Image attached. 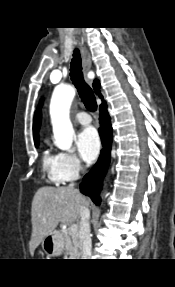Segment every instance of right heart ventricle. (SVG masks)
<instances>
[{
  "label": "right heart ventricle",
  "instance_id": "right-heart-ventricle-1",
  "mask_svg": "<svg viewBox=\"0 0 175 287\" xmlns=\"http://www.w3.org/2000/svg\"><path fill=\"white\" fill-rule=\"evenodd\" d=\"M42 168L49 181L62 183L58 169V155H54L49 150H46L42 157Z\"/></svg>",
  "mask_w": 175,
  "mask_h": 287
}]
</instances>
